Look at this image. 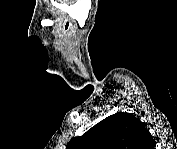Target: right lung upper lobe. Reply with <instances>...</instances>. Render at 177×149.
Instances as JSON below:
<instances>
[{
    "label": "right lung upper lobe",
    "instance_id": "right-lung-upper-lobe-1",
    "mask_svg": "<svg viewBox=\"0 0 177 149\" xmlns=\"http://www.w3.org/2000/svg\"><path fill=\"white\" fill-rule=\"evenodd\" d=\"M149 135L145 124L135 115L118 112L110 115L89 129L82 136L73 138L66 149H150L145 137ZM155 142V141H154Z\"/></svg>",
    "mask_w": 177,
    "mask_h": 149
}]
</instances>
